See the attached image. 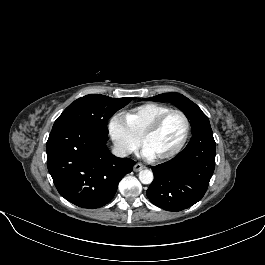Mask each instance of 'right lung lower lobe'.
Wrapping results in <instances>:
<instances>
[{
  "label": "right lung lower lobe",
  "mask_w": 265,
  "mask_h": 265,
  "mask_svg": "<svg viewBox=\"0 0 265 265\" xmlns=\"http://www.w3.org/2000/svg\"><path fill=\"white\" fill-rule=\"evenodd\" d=\"M102 132L80 125L52 129L47 167L62 197L82 208H99L114 196L118 183L136 164L112 155Z\"/></svg>",
  "instance_id": "1"
}]
</instances>
